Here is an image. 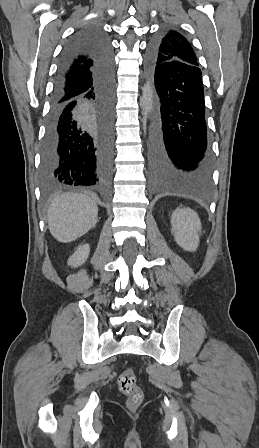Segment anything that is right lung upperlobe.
Instances as JSON below:
<instances>
[{
  "mask_svg": "<svg viewBox=\"0 0 259 448\" xmlns=\"http://www.w3.org/2000/svg\"><path fill=\"white\" fill-rule=\"evenodd\" d=\"M80 58L65 76L66 89L70 91L87 89L92 84L91 63Z\"/></svg>",
  "mask_w": 259,
  "mask_h": 448,
  "instance_id": "right-lung-upper-lobe-1",
  "label": "right lung upper lobe"
}]
</instances>
